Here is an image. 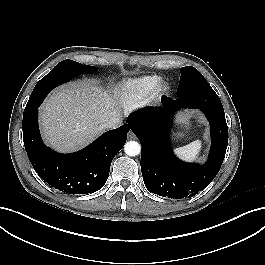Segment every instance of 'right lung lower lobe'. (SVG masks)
<instances>
[{"label": "right lung lower lobe", "instance_id": "obj_1", "mask_svg": "<svg viewBox=\"0 0 265 265\" xmlns=\"http://www.w3.org/2000/svg\"><path fill=\"white\" fill-rule=\"evenodd\" d=\"M43 100L23 114V140L34 169L45 182L67 194L99 190L108 179L112 159L126 142L129 126L104 133L81 151L59 154L43 144L39 133L38 107Z\"/></svg>", "mask_w": 265, "mask_h": 265}]
</instances>
